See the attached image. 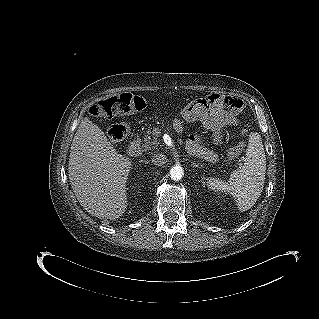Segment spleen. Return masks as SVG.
Listing matches in <instances>:
<instances>
[{"label": "spleen", "mask_w": 319, "mask_h": 319, "mask_svg": "<svg viewBox=\"0 0 319 319\" xmlns=\"http://www.w3.org/2000/svg\"><path fill=\"white\" fill-rule=\"evenodd\" d=\"M244 165L232 172L228 182L209 178L207 187L215 192H225L236 198L238 209L251 208L264 187L266 158L261 136L257 132L249 135Z\"/></svg>", "instance_id": "spleen-1"}]
</instances>
